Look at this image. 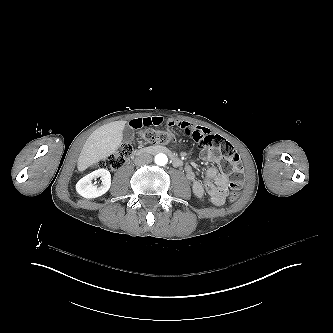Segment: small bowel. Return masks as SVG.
Listing matches in <instances>:
<instances>
[{
	"instance_id": "obj_1",
	"label": "small bowel",
	"mask_w": 333,
	"mask_h": 333,
	"mask_svg": "<svg viewBox=\"0 0 333 333\" xmlns=\"http://www.w3.org/2000/svg\"><path fill=\"white\" fill-rule=\"evenodd\" d=\"M163 118L160 116L144 117L131 121L134 128H141L147 126H159L163 123ZM169 124L172 126L188 127L187 123L178 120H170ZM193 132L207 134L203 128H195ZM192 132V133H193ZM206 160L218 161L219 157H215L212 152L205 155ZM186 177L192 182V189L196 197H202L207 194L212 204L221 206L225 203L227 190L229 186V179L226 174L220 173L216 167H210L205 173L203 181H199L195 177V173L191 166L185 167Z\"/></svg>"
}]
</instances>
